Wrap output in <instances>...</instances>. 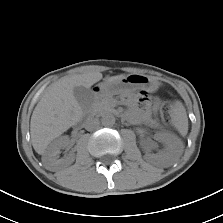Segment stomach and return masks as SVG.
<instances>
[{
	"label": "stomach",
	"mask_w": 223,
	"mask_h": 223,
	"mask_svg": "<svg viewBox=\"0 0 223 223\" xmlns=\"http://www.w3.org/2000/svg\"><path fill=\"white\" fill-rule=\"evenodd\" d=\"M158 82L147 75L129 74L119 80L105 81L99 84V92L103 95L124 94L137 89L147 92L154 91Z\"/></svg>",
	"instance_id": "obj_1"
}]
</instances>
